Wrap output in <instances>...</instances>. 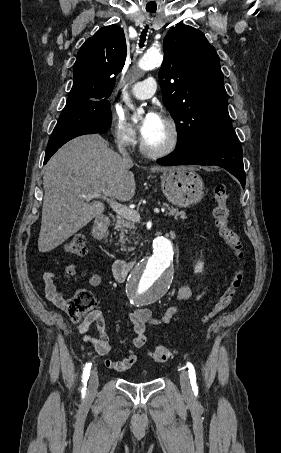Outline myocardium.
<instances>
[{
    "instance_id": "f54148a6",
    "label": "myocardium",
    "mask_w": 281,
    "mask_h": 453,
    "mask_svg": "<svg viewBox=\"0 0 281 453\" xmlns=\"http://www.w3.org/2000/svg\"><path fill=\"white\" fill-rule=\"evenodd\" d=\"M162 122L164 123V125L166 126V128L169 131L170 142L164 148L152 149L147 145L144 137L141 136L140 142H139V150L146 157L156 159V158H162V157L168 156L175 151V149L178 145L179 131H178L176 124L168 118H164L162 120Z\"/></svg>"
}]
</instances>
